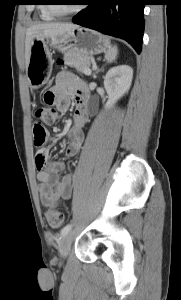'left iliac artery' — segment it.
<instances>
[{
	"instance_id": "44dca946",
	"label": "left iliac artery",
	"mask_w": 181,
	"mask_h": 300,
	"mask_svg": "<svg viewBox=\"0 0 181 300\" xmlns=\"http://www.w3.org/2000/svg\"><path fill=\"white\" fill-rule=\"evenodd\" d=\"M72 228V223L67 224L65 227L61 229L60 235L61 237L66 236Z\"/></svg>"
}]
</instances>
